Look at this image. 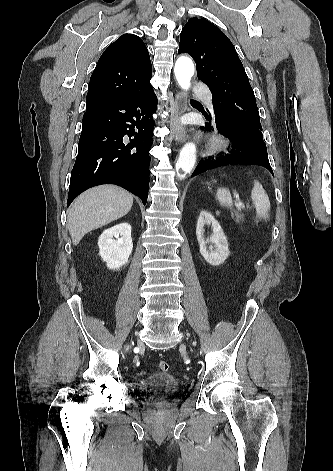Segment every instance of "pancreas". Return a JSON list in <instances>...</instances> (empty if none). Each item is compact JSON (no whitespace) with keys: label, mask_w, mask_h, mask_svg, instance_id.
<instances>
[{"label":"pancreas","mask_w":333,"mask_h":471,"mask_svg":"<svg viewBox=\"0 0 333 471\" xmlns=\"http://www.w3.org/2000/svg\"><path fill=\"white\" fill-rule=\"evenodd\" d=\"M232 218L235 220L236 223L244 222V216L238 211H233L231 213Z\"/></svg>","instance_id":"obj_1"}]
</instances>
